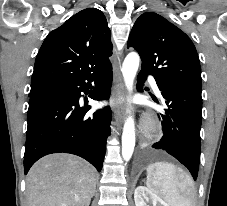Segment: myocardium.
I'll list each match as a JSON object with an SVG mask.
<instances>
[{
	"label": "myocardium",
	"mask_w": 227,
	"mask_h": 206,
	"mask_svg": "<svg viewBox=\"0 0 227 206\" xmlns=\"http://www.w3.org/2000/svg\"><path fill=\"white\" fill-rule=\"evenodd\" d=\"M144 131L147 135L153 136L158 131V125L154 118H147L144 122Z\"/></svg>",
	"instance_id": "f54148a6"
}]
</instances>
